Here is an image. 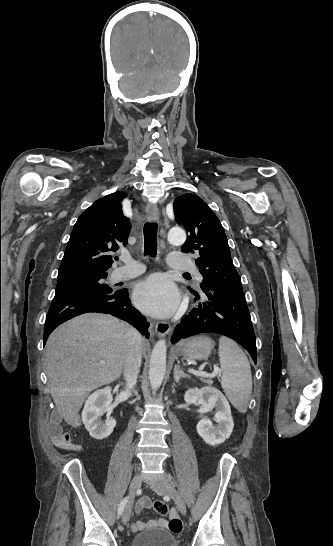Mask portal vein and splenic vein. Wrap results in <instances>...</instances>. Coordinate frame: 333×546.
<instances>
[{"label":"portal vein and splenic vein","mask_w":333,"mask_h":546,"mask_svg":"<svg viewBox=\"0 0 333 546\" xmlns=\"http://www.w3.org/2000/svg\"><path fill=\"white\" fill-rule=\"evenodd\" d=\"M100 363L103 364L104 361H100ZM218 371H219V368H218V367H215V368H214V372L211 373V374H208L207 372H204V371H196V370H193V369H189V370H188L189 373H192V374H194L195 376H202V377H207V376L213 377V376H215V375L218 374Z\"/></svg>","instance_id":"obj_1"}]
</instances>
